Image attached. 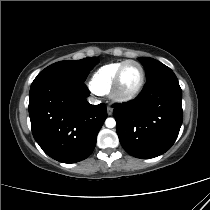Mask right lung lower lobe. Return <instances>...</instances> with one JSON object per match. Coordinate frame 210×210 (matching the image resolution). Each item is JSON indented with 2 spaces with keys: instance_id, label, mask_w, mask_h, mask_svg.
I'll list each match as a JSON object with an SVG mask.
<instances>
[{
  "instance_id": "98d812e1",
  "label": "right lung lower lobe",
  "mask_w": 210,
  "mask_h": 210,
  "mask_svg": "<svg viewBox=\"0 0 210 210\" xmlns=\"http://www.w3.org/2000/svg\"><path fill=\"white\" fill-rule=\"evenodd\" d=\"M84 82L50 77L35 79L29 93L33 136L42 150L62 163H75L94 150L107 117L106 106L91 105Z\"/></svg>"
}]
</instances>
